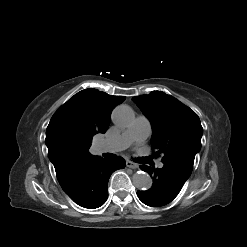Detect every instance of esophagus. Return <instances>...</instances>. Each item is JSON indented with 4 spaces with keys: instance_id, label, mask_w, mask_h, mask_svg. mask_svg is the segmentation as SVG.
<instances>
[{
    "instance_id": "1",
    "label": "esophagus",
    "mask_w": 247,
    "mask_h": 247,
    "mask_svg": "<svg viewBox=\"0 0 247 247\" xmlns=\"http://www.w3.org/2000/svg\"><path fill=\"white\" fill-rule=\"evenodd\" d=\"M126 166L128 167V168H131V169H136V168H138V166H137V164L136 163H133L132 161H126Z\"/></svg>"
}]
</instances>
